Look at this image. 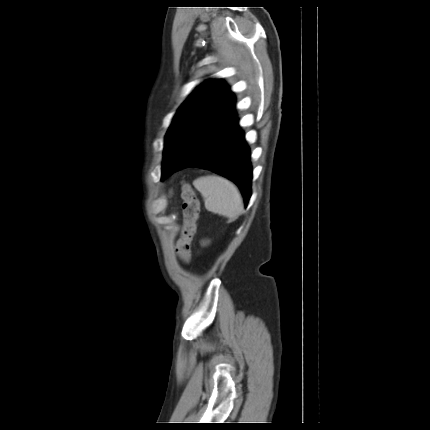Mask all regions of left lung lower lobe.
Here are the masks:
<instances>
[{
  "mask_svg": "<svg viewBox=\"0 0 430 430\" xmlns=\"http://www.w3.org/2000/svg\"><path fill=\"white\" fill-rule=\"evenodd\" d=\"M200 167L235 182L247 204L251 196L250 150L237 119L209 115L163 163L161 180L178 170Z\"/></svg>",
  "mask_w": 430,
  "mask_h": 430,
  "instance_id": "1",
  "label": "left lung lower lobe"
}]
</instances>
